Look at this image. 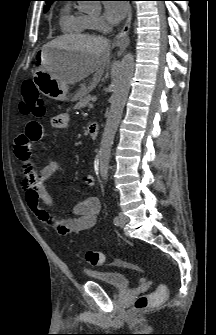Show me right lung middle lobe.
<instances>
[{
    "instance_id": "obj_1",
    "label": "right lung middle lobe",
    "mask_w": 216,
    "mask_h": 335,
    "mask_svg": "<svg viewBox=\"0 0 216 335\" xmlns=\"http://www.w3.org/2000/svg\"><path fill=\"white\" fill-rule=\"evenodd\" d=\"M49 6H50V5H47V6H45V10H44L45 12H47V11H48V9H49Z\"/></svg>"
}]
</instances>
